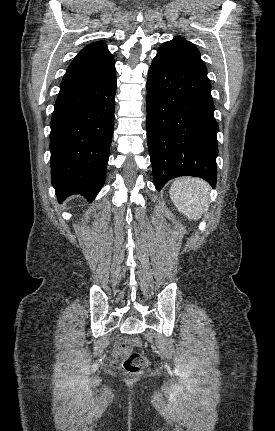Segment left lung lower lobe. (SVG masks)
<instances>
[{"label":"left lung lower lobe","instance_id":"obj_1","mask_svg":"<svg viewBox=\"0 0 275 431\" xmlns=\"http://www.w3.org/2000/svg\"><path fill=\"white\" fill-rule=\"evenodd\" d=\"M217 132L209 80L184 54L161 45L147 80V143L156 189L184 175L215 187Z\"/></svg>","mask_w":275,"mask_h":431}]
</instances>
